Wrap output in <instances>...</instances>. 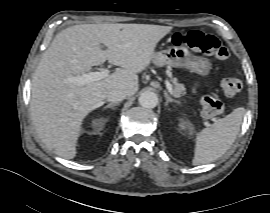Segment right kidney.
Instances as JSON below:
<instances>
[{"mask_svg": "<svg viewBox=\"0 0 270 213\" xmlns=\"http://www.w3.org/2000/svg\"><path fill=\"white\" fill-rule=\"evenodd\" d=\"M103 124H104V120H103V119L98 120L97 125H98L99 127H102Z\"/></svg>", "mask_w": 270, "mask_h": 213, "instance_id": "ca27d5eb", "label": "right kidney"}]
</instances>
